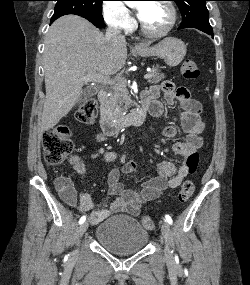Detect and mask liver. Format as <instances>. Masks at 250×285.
Segmentation results:
<instances>
[{"instance_id": "6515ba94", "label": "liver", "mask_w": 250, "mask_h": 285, "mask_svg": "<svg viewBox=\"0 0 250 285\" xmlns=\"http://www.w3.org/2000/svg\"><path fill=\"white\" fill-rule=\"evenodd\" d=\"M126 42L110 41L89 21L66 15L50 27L44 50L46 98L41 131L53 128L79 100L84 77H109L125 64Z\"/></svg>"}]
</instances>
